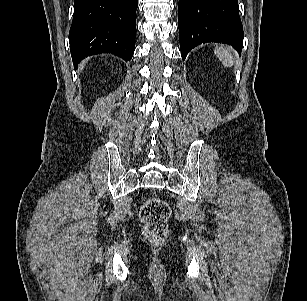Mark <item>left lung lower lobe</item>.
I'll return each instance as SVG.
<instances>
[{"instance_id":"left-lung-lower-lobe-1","label":"left lung lower lobe","mask_w":307,"mask_h":301,"mask_svg":"<svg viewBox=\"0 0 307 301\" xmlns=\"http://www.w3.org/2000/svg\"><path fill=\"white\" fill-rule=\"evenodd\" d=\"M179 39L181 56L199 44L218 42L243 47V26L238 0H179Z\"/></svg>"}]
</instances>
